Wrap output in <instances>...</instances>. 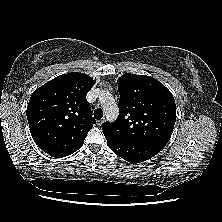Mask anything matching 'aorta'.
<instances>
[{"label":"aorta","mask_w":222,"mask_h":222,"mask_svg":"<svg viewBox=\"0 0 222 222\" xmlns=\"http://www.w3.org/2000/svg\"><path fill=\"white\" fill-rule=\"evenodd\" d=\"M105 115L109 121H114L118 116V106L113 96L108 91H102L99 96Z\"/></svg>","instance_id":"1"}]
</instances>
